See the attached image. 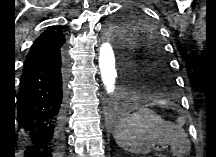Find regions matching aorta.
I'll return each mask as SVG.
<instances>
[{
    "instance_id": "1",
    "label": "aorta",
    "mask_w": 216,
    "mask_h": 157,
    "mask_svg": "<svg viewBox=\"0 0 216 157\" xmlns=\"http://www.w3.org/2000/svg\"><path fill=\"white\" fill-rule=\"evenodd\" d=\"M99 69L103 85L108 94H113L116 86L117 70L115 56L111 44L108 41L102 43L99 48Z\"/></svg>"
}]
</instances>
